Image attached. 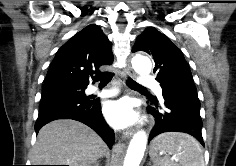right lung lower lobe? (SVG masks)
<instances>
[{
  "mask_svg": "<svg viewBox=\"0 0 236 166\" xmlns=\"http://www.w3.org/2000/svg\"><path fill=\"white\" fill-rule=\"evenodd\" d=\"M81 88L86 89L87 86L69 81L44 83L35 123L36 134L53 120L73 119L91 127L111 148L115 140L114 131L104 120L98 99L90 100Z\"/></svg>",
  "mask_w": 236,
  "mask_h": 166,
  "instance_id": "98d812e1",
  "label": "right lung lower lobe"
}]
</instances>
